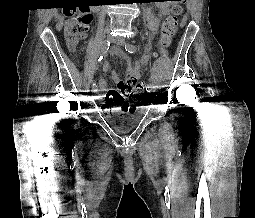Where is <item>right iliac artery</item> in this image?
<instances>
[{"instance_id": "obj_1", "label": "right iliac artery", "mask_w": 255, "mask_h": 218, "mask_svg": "<svg viewBox=\"0 0 255 218\" xmlns=\"http://www.w3.org/2000/svg\"><path fill=\"white\" fill-rule=\"evenodd\" d=\"M109 46H110V41L105 40L102 44V48H101V56L99 58V61H101L103 59V57H105L107 55V52L109 50ZM92 87H97L96 83L92 84Z\"/></svg>"}]
</instances>
